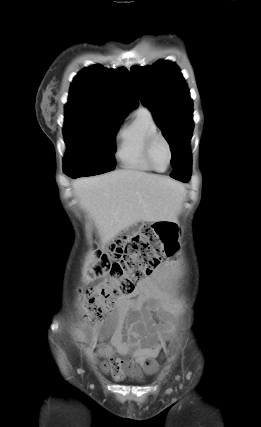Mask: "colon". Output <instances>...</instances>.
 Instances as JSON below:
<instances>
[{
	"instance_id": "1",
	"label": "colon",
	"mask_w": 261,
	"mask_h": 427,
	"mask_svg": "<svg viewBox=\"0 0 261 427\" xmlns=\"http://www.w3.org/2000/svg\"><path fill=\"white\" fill-rule=\"evenodd\" d=\"M177 249V229L172 223L157 222L143 226L121 250L120 260L109 267L108 284L87 292V317L102 320L106 313L98 301L99 296L109 304L116 296L131 294L137 281L152 272L162 259L175 254ZM100 256L105 260L104 256Z\"/></svg>"
}]
</instances>
